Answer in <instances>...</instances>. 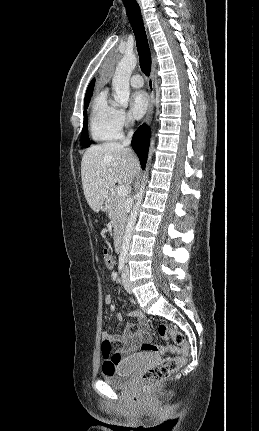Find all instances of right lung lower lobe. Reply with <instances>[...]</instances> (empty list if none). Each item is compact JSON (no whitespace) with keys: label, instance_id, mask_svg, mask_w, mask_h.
I'll return each mask as SVG.
<instances>
[{"label":"right lung lower lobe","instance_id":"obj_1","mask_svg":"<svg viewBox=\"0 0 259 431\" xmlns=\"http://www.w3.org/2000/svg\"><path fill=\"white\" fill-rule=\"evenodd\" d=\"M150 135H151L150 128L146 124H143L136 130L132 138V148L134 149L137 156L139 157L141 167L143 169L145 168V164L147 160L148 148L150 143Z\"/></svg>","mask_w":259,"mask_h":431}]
</instances>
